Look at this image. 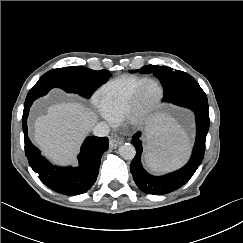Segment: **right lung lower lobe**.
Here are the masks:
<instances>
[{"instance_id":"98d812e1","label":"right lung lower lobe","mask_w":243,"mask_h":243,"mask_svg":"<svg viewBox=\"0 0 243 243\" xmlns=\"http://www.w3.org/2000/svg\"><path fill=\"white\" fill-rule=\"evenodd\" d=\"M48 88H32L25 100L22 126L25 139V154L33 171L47 187L64 195L82 194L89 190L96 181L102 154L108 149L107 137H87L78 156L79 166L76 168L57 167L43 156L28 138L27 117L32 103L48 93Z\"/></svg>"}]
</instances>
